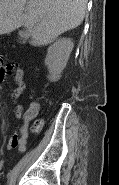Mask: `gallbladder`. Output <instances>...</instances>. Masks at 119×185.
<instances>
[{
	"mask_svg": "<svg viewBox=\"0 0 119 185\" xmlns=\"http://www.w3.org/2000/svg\"><path fill=\"white\" fill-rule=\"evenodd\" d=\"M19 36L21 42H26L29 37V33L25 30H21L19 31Z\"/></svg>",
	"mask_w": 119,
	"mask_h": 185,
	"instance_id": "obj_1",
	"label": "gallbladder"
}]
</instances>
